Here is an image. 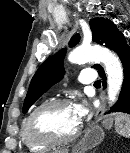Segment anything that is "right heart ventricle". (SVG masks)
<instances>
[{
  "label": "right heart ventricle",
  "instance_id": "e07e8e85",
  "mask_svg": "<svg viewBox=\"0 0 130 153\" xmlns=\"http://www.w3.org/2000/svg\"><path fill=\"white\" fill-rule=\"evenodd\" d=\"M24 124H25V122L22 124L21 132H20V138H21L22 143L28 149L35 151V152H42V151L49 149L50 145L37 144V143H34L31 140H29V138L27 137L25 130H24Z\"/></svg>",
  "mask_w": 130,
  "mask_h": 153
}]
</instances>
